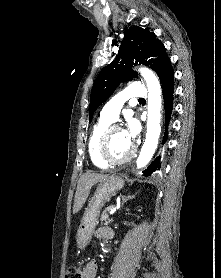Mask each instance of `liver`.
Masks as SVG:
<instances>
[{"label":"liver","instance_id":"obj_1","mask_svg":"<svg viewBox=\"0 0 221 278\" xmlns=\"http://www.w3.org/2000/svg\"><path fill=\"white\" fill-rule=\"evenodd\" d=\"M106 177H108V175L85 173L79 178L73 205L74 214L78 213L82 209L88 198L91 188Z\"/></svg>","mask_w":221,"mask_h":278}]
</instances>
